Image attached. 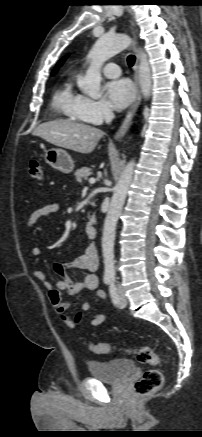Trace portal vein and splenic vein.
<instances>
[{
  "label": "portal vein and splenic vein",
  "mask_w": 202,
  "mask_h": 437,
  "mask_svg": "<svg viewBox=\"0 0 202 437\" xmlns=\"http://www.w3.org/2000/svg\"><path fill=\"white\" fill-rule=\"evenodd\" d=\"M95 181H96L95 178H90V179H89V183H91V184L95 183Z\"/></svg>",
  "instance_id": "1"
}]
</instances>
